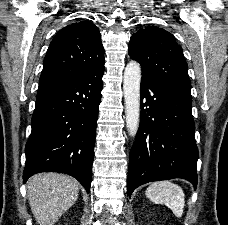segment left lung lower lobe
Masks as SVG:
<instances>
[{
    "instance_id": "left-lung-lower-lobe-1",
    "label": "left lung lower lobe",
    "mask_w": 228,
    "mask_h": 225,
    "mask_svg": "<svg viewBox=\"0 0 228 225\" xmlns=\"http://www.w3.org/2000/svg\"><path fill=\"white\" fill-rule=\"evenodd\" d=\"M141 119L130 151L127 192L142 184L183 178L197 186L198 148L194 139L191 94L144 78Z\"/></svg>"
}]
</instances>
